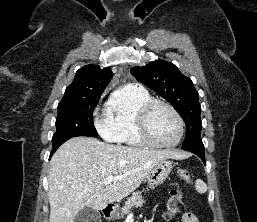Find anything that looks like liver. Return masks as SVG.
<instances>
[{"label": "liver", "mask_w": 257, "mask_h": 222, "mask_svg": "<svg viewBox=\"0 0 257 222\" xmlns=\"http://www.w3.org/2000/svg\"><path fill=\"white\" fill-rule=\"evenodd\" d=\"M186 156L176 151L113 145L90 137L72 138L51 158L49 222H74L84 207L102 210L137 189L158 161ZM109 176L115 179L104 184Z\"/></svg>", "instance_id": "6515ba94"}]
</instances>
